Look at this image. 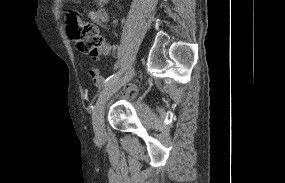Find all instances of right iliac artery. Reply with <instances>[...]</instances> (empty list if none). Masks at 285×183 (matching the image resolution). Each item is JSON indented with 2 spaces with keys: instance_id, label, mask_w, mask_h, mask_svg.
Segmentation results:
<instances>
[{
  "instance_id": "1",
  "label": "right iliac artery",
  "mask_w": 285,
  "mask_h": 183,
  "mask_svg": "<svg viewBox=\"0 0 285 183\" xmlns=\"http://www.w3.org/2000/svg\"><path fill=\"white\" fill-rule=\"evenodd\" d=\"M121 74H122V72L119 71V72L113 74L112 76L108 77L104 83V86H107V85L113 83L114 81H116Z\"/></svg>"
}]
</instances>
